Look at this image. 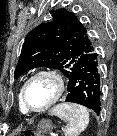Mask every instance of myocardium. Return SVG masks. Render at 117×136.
I'll return each instance as SVG.
<instances>
[{"mask_svg": "<svg viewBox=\"0 0 117 136\" xmlns=\"http://www.w3.org/2000/svg\"><path fill=\"white\" fill-rule=\"evenodd\" d=\"M41 76L49 77L54 81L55 87H56V92H55V95L53 96V98L51 99V101L46 106H44L41 109H33L28 105V102L26 99V91H27V87H28L29 83L31 81H33L34 79L41 77ZM64 91H65V83H64V79L61 76V74L55 70H52V69H42V70H39V71H36L35 73H33L24 82V84L21 88V102H22L23 107L25 108V110L28 113H43V112L47 111L48 109H50L55 103L58 102V100L62 97Z\"/></svg>", "mask_w": 117, "mask_h": 136, "instance_id": "f54148a6", "label": "myocardium"}]
</instances>
